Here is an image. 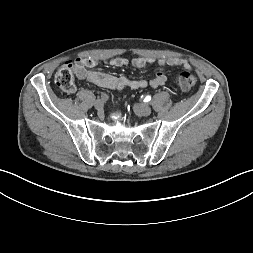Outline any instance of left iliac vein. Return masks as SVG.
Returning <instances> with one entry per match:
<instances>
[{
  "mask_svg": "<svg viewBox=\"0 0 253 253\" xmlns=\"http://www.w3.org/2000/svg\"><path fill=\"white\" fill-rule=\"evenodd\" d=\"M134 111L141 116H149L152 112L151 107L145 103H138L134 105Z\"/></svg>",
  "mask_w": 253,
  "mask_h": 253,
  "instance_id": "left-iliac-vein-1",
  "label": "left iliac vein"
}]
</instances>
